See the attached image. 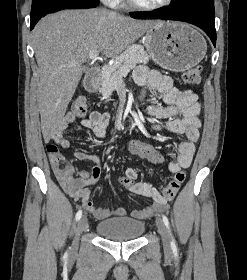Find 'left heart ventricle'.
Returning <instances> with one entry per match:
<instances>
[{
	"label": "left heart ventricle",
	"mask_w": 247,
	"mask_h": 280,
	"mask_svg": "<svg viewBox=\"0 0 247 280\" xmlns=\"http://www.w3.org/2000/svg\"><path fill=\"white\" fill-rule=\"evenodd\" d=\"M136 1L144 5H152L161 2L162 0H136Z\"/></svg>",
	"instance_id": "1"
}]
</instances>
